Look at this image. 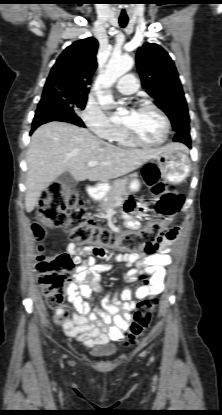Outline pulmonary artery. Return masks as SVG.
Segmentation results:
<instances>
[{
  "label": "pulmonary artery",
  "mask_w": 222,
  "mask_h": 415,
  "mask_svg": "<svg viewBox=\"0 0 222 415\" xmlns=\"http://www.w3.org/2000/svg\"><path fill=\"white\" fill-rule=\"evenodd\" d=\"M116 87L123 94H133L138 89V82L133 75L127 74L117 81Z\"/></svg>",
  "instance_id": "e3ab8cb5"
}]
</instances>
